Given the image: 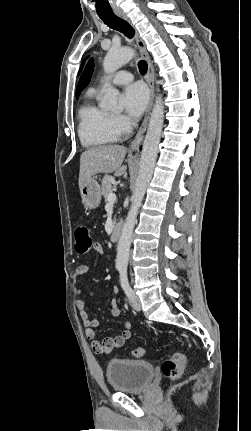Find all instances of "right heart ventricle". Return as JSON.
I'll list each match as a JSON object with an SVG mask.
<instances>
[{"mask_svg":"<svg viewBox=\"0 0 251 431\" xmlns=\"http://www.w3.org/2000/svg\"><path fill=\"white\" fill-rule=\"evenodd\" d=\"M94 94V90L88 91L78 112V134L85 146H103L119 138L112 128V115L95 104Z\"/></svg>","mask_w":251,"mask_h":431,"instance_id":"1","label":"right heart ventricle"}]
</instances>
